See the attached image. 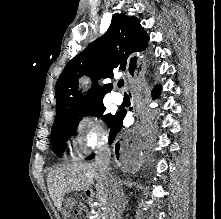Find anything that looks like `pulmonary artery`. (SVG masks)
I'll use <instances>...</instances> for the list:
<instances>
[{
	"instance_id": "pulmonary-artery-1",
	"label": "pulmonary artery",
	"mask_w": 221,
	"mask_h": 219,
	"mask_svg": "<svg viewBox=\"0 0 221 219\" xmlns=\"http://www.w3.org/2000/svg\"><path fill=\"white\" fill-rule=\"evenodd\" d=\"M111 100L113 103L115 104H121L123 102V96L121 93H118V92H113L111 94Z\"/></svg>"
}]
</instances>
